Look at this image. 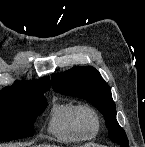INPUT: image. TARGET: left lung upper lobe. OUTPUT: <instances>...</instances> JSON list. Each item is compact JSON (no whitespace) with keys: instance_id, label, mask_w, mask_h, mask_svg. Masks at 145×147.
Returning a JSON list of instances; mask_svg holds the SVG:
<instances>
[{"instance_id":"left-lung-upper-lobe-1","label":"left lung upper lobe","mask_w":145,"mask_h":147,"mask_svg":"<svg viewBox=\"0 0 145 147\" xmlns=\"http://www.w3.org/2000/svg\"><path fill=\"white\" fill-rule=\"evenodd\" d=\"M53 89L64 95H72L92 103L105 117L110 140L121 147H128L125 131L116 120L115 103L111 88L93 67H76L52 75Z\"/></svg>"}]
</instances>
